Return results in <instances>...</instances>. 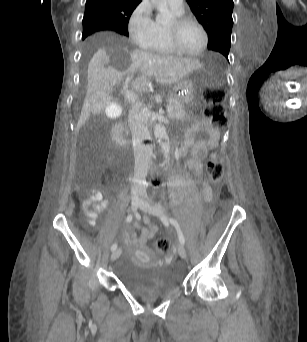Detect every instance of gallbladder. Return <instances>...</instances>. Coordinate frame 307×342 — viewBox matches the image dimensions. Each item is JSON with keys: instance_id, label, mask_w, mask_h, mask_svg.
<instances>
[{"instance_id": "gallbladder-1", "label": "gallbladder", "mask_w": 307, "mask_h": 342, "mask_svg": "<svg viewBox=\"0 0 307 342\" xmlns=\"http://www.w3.org/2000/svg\"><path fill=\"white\" fill-rule=\"evenodd\" d=\"M111 105H107V113L110 118H119L122 105L121 103H114L112 100L109 102Z\"/></svg>"}]
</instances>
